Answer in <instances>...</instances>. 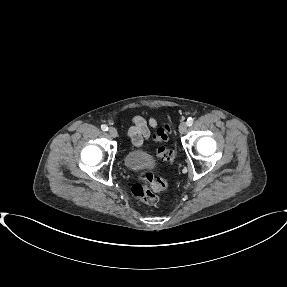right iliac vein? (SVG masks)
<instances>
[{
  "label": "right iliac vein",
  "mask_w": 287,
  "mask_h": 287,
  "mask_svg": "<svg viewBox=\"0 0 287 287\" xmlns=\"http://www.w3.org/2000/svg\"><path fill=\"white\" fill-rule=\"evenodd\" d=\"M109 134L111 137L115 138L118 135L117 130L114 127L109 128Z\"/></svg>",
  "instance_id": "63e3f726"
}]
</instances>
